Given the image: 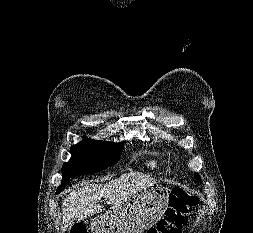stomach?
<instances>
[{"label": "stomach", "instance_id": "obj_1", "mask_svg": "<svg viewBox=\"0 0 253 233\" xmlns=\"http://www.w3.org/2000/svg\"><path fill=\"white\" fill-rule=\"evenodd\" d=\"M168 203L169 190L153 184L95 218L92 229L94 233H142L161 219Z\"/></svg>", "mask_w": 253, "mask_h": 233}]
</instances>
